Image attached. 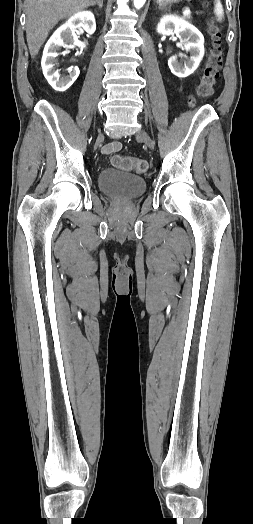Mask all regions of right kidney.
<instances>
[{
	"label": "right kidney",
	"mask_w": 253,
	"mask_h": 524,
	"mask_svg": "<svg viewBox=\"0 0 253 524\" xmlns=\"http://www.w3.org/2000/svg\"><path fill=\"white\" fill-rule=\"evenodd\" d=\"M76 28H83L89 34H93L96 30V22L92 12L83 11L73 15L65 24L59 27L50 37L45 45L42 57V69L48 83L56 91H66L79 76V69L72 68L69 70V75L61 76L55 70L56 60L59 55L57 51L61 47L70 48L78 46L81 49L85 48V43L79 42L75 34Z\"/></svg>",
	"instance_id": "right-kidney-1"
}]
</instances>
